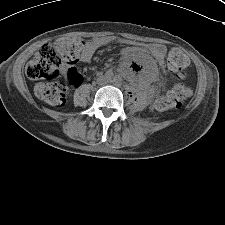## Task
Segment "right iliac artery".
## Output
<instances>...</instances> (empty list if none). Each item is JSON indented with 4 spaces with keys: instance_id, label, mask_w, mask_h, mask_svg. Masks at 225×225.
<instances>
[{
    "instance_id": "obj_1",
    "label": "right iliac artery",
    "mask_w": 225,
    "mask_h": 225,
    "mask_svg": "<svg viewBox=\"0 0 225 225\" xmlns=\"http://www.w3.org/2000/svg\"><path fill=\"white\" fill-rule=\"evenodd\" d=\"M105 75L107 78H111L113 76V73L111 71H107Z\"/></svg>"
}]
</instances>
